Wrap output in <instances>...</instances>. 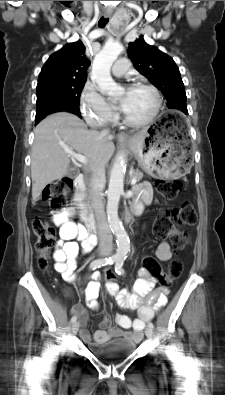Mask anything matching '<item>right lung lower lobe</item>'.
<instances>
[{"label":"right lung lower lobe","mask_w":225,"mask_h":395,"mask_svg":"<svg viewBox=\"0 0 225 395\" xmlns=\"http://www.w3.org/2000/svg\"><path fill=\"white\" fill-rule=\"evenodd\" d=\"M58 111H69V112L81 117L80 110H79L78 107L66 106V107L59 108V109H57V110H55L53 112H58ZM53 112H51V113H53ZM47 115H45V116H47ZM45 116L40 117V118H35V124H38Z\"/></svg>","instance_id":"right-lung-lower-lobe-1"}]
</instances>
